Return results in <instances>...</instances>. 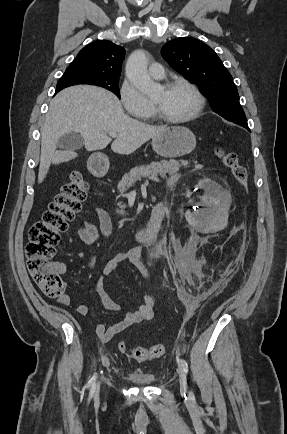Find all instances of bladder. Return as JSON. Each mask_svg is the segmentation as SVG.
Instances as JSON below:
<instances>
[{
  "label": "bladder",
  "instance_id": "bladder-1",
  "mask_svg": "<svg viewBox=\"0 0 287 434\" xmlns=\"http://www.w3.org/2000/svg\"><path fill=\"white\" fill-rule=\"evenodd\" d=\"M126 379L139 386H150L157 382V378L152 373L144 372L140 369H134L126 374Z\"/></svg>",
  "mask_w": 287,
  "mask_h": 434
}]
</instances>
